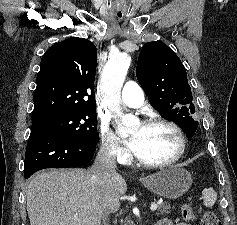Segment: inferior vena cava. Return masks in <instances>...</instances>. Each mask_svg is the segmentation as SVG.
Returning <instances> with one entry per match:
<instances>
[{
    "instance_id": "1",
    "label": "inferior vena cava",
    "mask_w": 237,
    "mask_h": 225,
    "mask_svg": "<svg viewBox=\"0 0 237 225\" xmlns=\"http://www.w3.org/2000/svg\"><path fill=\"white\" fill-rule=\"evenodd\" d=\"M92 171L95 177L110 181L116 176V146L113 143H104L96 156ZM112 211L107 207L102 209L103 225H109V216Z\"/></svg>"
}]
</instances>
